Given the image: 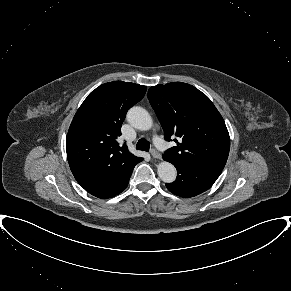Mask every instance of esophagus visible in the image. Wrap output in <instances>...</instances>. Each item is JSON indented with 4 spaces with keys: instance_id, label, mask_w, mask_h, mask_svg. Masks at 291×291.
Instances as JSON below:
<instances>
[{
    "instance_id": "esophagus-1",
    "label": "esophagus",
    "mask_w": 291,
    "mask_h": 291,
    "mask_svg": "<svg viewBox=\"0 0 291 291\" xmlns=\"http://www.w3.org/2000/svg\"><path fill=\"white\" fill-rule=\"evenodd\" d=\"M150 153L153 158L161 159V154L155 148L151 149Z\"/></svg>"
}]
</instances>
